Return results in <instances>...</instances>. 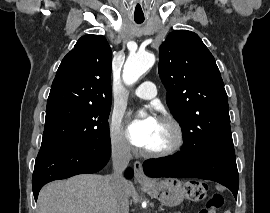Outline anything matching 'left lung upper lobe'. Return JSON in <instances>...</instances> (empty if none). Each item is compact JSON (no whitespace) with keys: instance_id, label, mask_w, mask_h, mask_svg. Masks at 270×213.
<instances>
[{"instance_id":"1","label":"left lung upper lobe","mask_w":270,"mask_h":213,"mask_svg":"<svg viewBox=\"0 0 270 213\" xmlns=\"http://www.w3.org/2000/svg\"><path fill=\"white\" fill-rule=\"evenodd\" d=\"M159 75L183 140L207 151L233 148L227 94L213 55L199 36L174 30L159 50Z\"/></svg>"}]
</instances>
